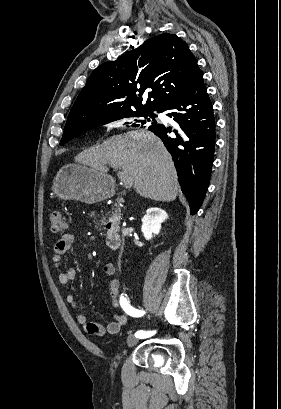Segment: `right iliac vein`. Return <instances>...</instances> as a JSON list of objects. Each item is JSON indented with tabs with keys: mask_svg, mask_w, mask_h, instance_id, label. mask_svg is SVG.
<instances>
[{
	"mask_svg": "<svg viewBox=\"0 0 281 409\" xmlns=\"http://www.w3.org/2000/svg\"><path fill=\"white\" fill-rule=\"evenodd\" d=\"M137 343H138V339L135 338L134 336H129V337L127 338V345H128L129 347H133V346H135Z\"/></svg>",
	"mask_w": 281,
	"mask_h": 409,
	"instance_id": "right-iliac-vein-1",
	"label": "right iliac vein"
}]
</instances>
